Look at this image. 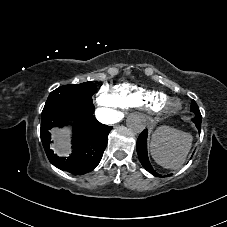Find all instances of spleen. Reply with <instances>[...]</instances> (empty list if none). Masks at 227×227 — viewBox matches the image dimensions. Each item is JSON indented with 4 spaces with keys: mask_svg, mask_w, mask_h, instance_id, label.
Instances as JSON below:
<instances>
[{
    "mask_svg": "<svg viewBox=\"0 0 227 227\" xmlns=\"http://www.w3.org/2000/svg\"><path fill=\"white\" fill-rule=\"evenodd\" d=\"M193 137L169 126L157 128L151 137L150 153L155 162L166 169H179L192 147Z\"/></svg>",
    "mask_w": 227,
    "mask_h": 227,
    "instance_id": "3e777b00",
    "label": "spleen"
}]
</instances>
